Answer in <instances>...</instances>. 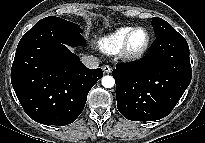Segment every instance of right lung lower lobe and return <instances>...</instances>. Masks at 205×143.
I'll list each match as a JSON object with an SVG mask.
<instances>
[{
  "label": "right lung lower lobe",
  "mask_w": 205,
  "mask_h": 143,
  "mask_svg": "<svg viewBox=\"0 0 205 143\" xmlns=\"http://www.w3.org/2000/svg\"><path fill=\"white\" fill-rule=\"evenodd\" d=\"M81 44V33L53 21H38L19 41L11 83L34 121L64 126L83 111L88 92L103 71L86 68L65 46Z\"/></svg>",
  "instance_id": "obj_1"
}]
</instances>
